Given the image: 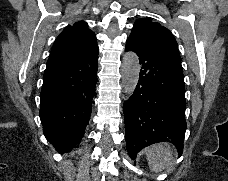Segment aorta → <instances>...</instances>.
Listing matches in <instances>:
<instances>
[{
  "label": "aorta",
  "instance_id": "aorta-1",
  "mask_svg": "<svg viewBox=\"0 0 228 181\" xmlns=\"http://www.w3.org/2000/svg\"><path fill=\"white\" fill-rule=\"evenodd\" d=\"M121 73L124 93L129 97L136 89L139 80L140 63L136 53L129 51L123 55Z\"/></svg>",
  "mask_w": 228,
  "mask_h": 181
}]
</instances>
